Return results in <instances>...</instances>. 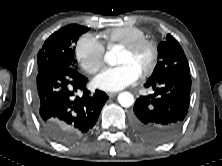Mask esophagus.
I'll return each mask as SVG.
<instances>
[{"instance_id":"obj_1","label":"esophagus","mask_w":222,"mask_h":166,"mask_svg":"<svg viewBox=\"0 0 222 166\" xmlns=\"http://www.w3.org/2000/svg\"><path fill=\"white\" fill-rule=\"evenodd\" d=\"M118 93L117 92H108L107 93V95L109 96V97H114V96H116Z\"/></svg>"}]
</instances>
